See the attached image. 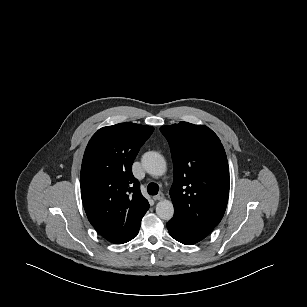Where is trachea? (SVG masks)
<instances>
[{
	"instance_id": "3493384b",
	"label": "trachea",
	"mask_w": 307,
	"mask_h": 307,
	"mask_svg": "<svg viewBox=\"0 0 307 307\" xmlns=\"http://www.w3.org/2000/svg\"><path fill=\"white\" fill-rule=\"evenodd\" d=\"M147 191L150 195H156L159 191V187L156 183H150L147 186Z\"/></svg>"
}]
</instances>
